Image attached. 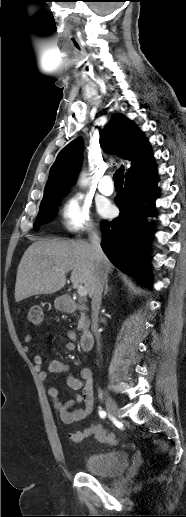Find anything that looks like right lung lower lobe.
<instances>
[{
    "label": "right lung lower lobe",
    "instance_id": "obj_1",
    "mask_svg": "<svg viewBox=\"0 0 186 517\" xmlns=\"http://www.w3.org/2000/svg\"><path fill=\"white\" fill-rule=\"evenodd\" d=\"M156 182L153 163L127 176L124 190L115 197L120 215L102 223L104 253L117 268L150 289L151 277L145 259L147 238L143 235L151 232L146 217L153 216V201L158 196Z\"/></svg>",
    "mask_w": 186,
    "mask_h": 517
}]
</instances>
